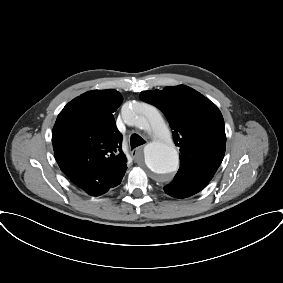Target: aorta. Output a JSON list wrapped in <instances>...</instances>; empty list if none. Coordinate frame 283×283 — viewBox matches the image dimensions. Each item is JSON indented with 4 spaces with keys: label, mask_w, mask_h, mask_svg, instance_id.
I'll return each mask as SVG.
<instances>
[{
    "label": "aorta",
    "mask_w": 283,
    "mask_h": 283,
    "mask_svg": "<svg viewBox=\"0 0 283 283\" xmlns=\"http://www.w3.org/2000/svg\"><path fill=\"white\" fill-rule=\"evenodd\" d=\"M122 114L126 124L152 134L153 141L144 148L147 168L156 175L175 172L179 165L178 152L159 111L146 103H133L125 106Z\"/></svg>",
    "instance_id": "762f6f07"
}]
</instances>
